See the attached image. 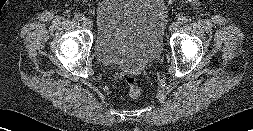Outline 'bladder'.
Returning a JSON list of instances; mask_svg holds the SVG:
<instances>
[{"instance_id": "31cf9c89", "label": "bladder", "mask_w": 253, "mask_h": 131, "mask_svg": "<svg viewBox=\"0 0 253 131\" xmlns=\"http://www.w3.org/2000/svg\"><path fill=\"white\" fill-rule=\"evenodd\" d=\"M97 60L105 65H144L161 54L167 10L162 0H102L95 7Z\"/></svg>"}]
</instances>
